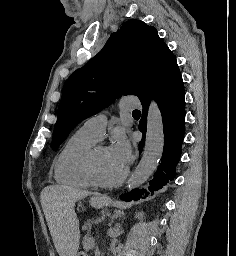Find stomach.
I'll return each instance as SVG.
<instances>
[{"mask_svg":"<svg viewBox=\"0 0 236 256\" xmlns=\"http://www.w3.org/2000/svg\"><path fill=\"white\" fill-rule=\"evenodd\" d=\"M91 205H92L93 207H95V208H101V207L104 206V201L93 199V200L91 201ZM76 256H86V253H84V252H78V253L76 254Z\"/></svg>","mask_w":236,"mask_h":256,"instance_id":"obj_1","label":"stomach"}]
</instances>
